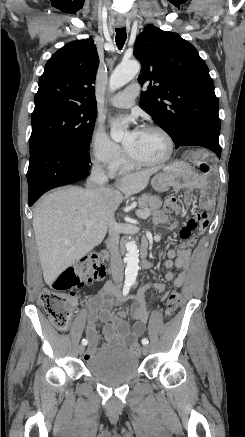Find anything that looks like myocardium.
<instances>
[{"label":"myocardium","mask_w":245,"mask_h":437,"mask_svg":"<svg viewBox=\"0 0 245 437\" xmlns=\"http://www.w3.org/2000/svg\"><path fill=\"white\" fill-rule=\"evenodd\" d=\"M142 129L143 130H153V131L159 132L166 141V152L164 153V155L162 157H160L158 159L142 160V159H138V158L133 157L128 152L127 148H125L126 160L135 166H158V165H162V164L166 163L171 158L173 151H174V140H173L172 136L170 135V133L164 127L157 125V124H147V125L143 126Z\"/></svg>","instance_id":"obj_1"}]
</instances>
